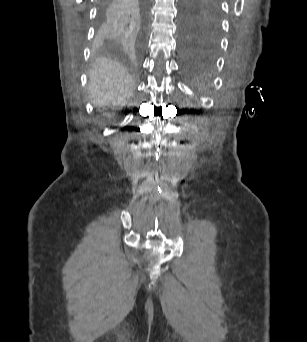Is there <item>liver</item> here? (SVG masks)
<instances>
[{
  "label": "liver",
  "mask_w": 307,
  "mask_h": 342,
  "mask_svg": "<svg viewBox=\"0 0 307 342\" xmlns=\"http://www.w3.org/2000/svg\"><path fill=\"white\" fill-rule=\"evenodd\" d=\"M89 96L96 108L127 106L134 92L132 76L118 62L101 58L89 72Z\"/></svg>",
  "instance_id": "liver-1"
}]
</instances>
